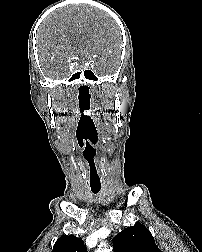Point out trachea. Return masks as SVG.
<instances>
[{
	"mask_svg": "<svg viewBox=\"0 0 202 252\" xmlns=\"http://www.w3.org/2000/svg\"><path fill=\"white\" fill-rule=\"evenodd\" d=\"M91 191L96 194L100 191V187H91Z\"/></svg>",
	"mask_w": 202,
	"mask_h": 252,
	"instance_id": "trachea-1",
	"label": "trachea"
}]
</instances>
